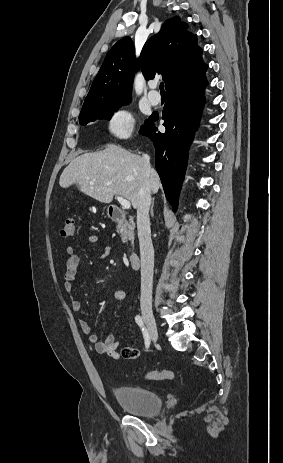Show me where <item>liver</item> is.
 <instances>
[{"mask_svg": "<svg viewBox=\"0 0 283 463\" xmlns=\"http://www.w3.org/2000/svg\"><path fill=\"white\" fill-rule=\"evenodd\" d=\"M59 184L62 188L76 184L82 193L107 204L114 195H120L129 200L134 209L144 185L154 194L161 186L158 173L148 167L141 156L114 144L73 159L62 172Z\"/></svg>", "mask_w": 283, "mask_h": 463, "instance_id": "1", "label": "liver"}]
</instances>
